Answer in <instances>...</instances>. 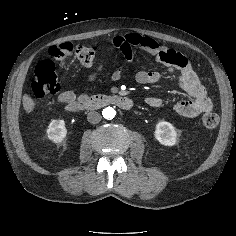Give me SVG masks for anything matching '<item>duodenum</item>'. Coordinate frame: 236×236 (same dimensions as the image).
Masks as SVG:
<instances>
[{"mask_svg": "<svg viewBox=\"0 0 236 236\" xmlns=\"http://www.w3.org/2000/svg\"><path fill=\"white\" fill-rule=\"evenodd\" d=\"M106 105H115L124 110H129L133 106V101L122 95H93L84 98L77 106V111L95 110Z\"/></svg>", "mask_w": 236, "mask_h": 236, "instance_id": "1", "label": "duodenum"}]
</instances>
